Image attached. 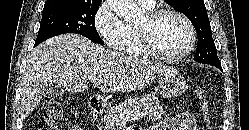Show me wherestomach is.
Returning <instances> with one entry per match:
<instances>
[{
	"label": "stomach",
	"mask_w": 249,
	"mask_h": 130,
	"mask_svg": "<svg viewBox=\"0 0 249 130\" xmlns=\"http://www.w3.org/2000/svg\"><path fill=\"white\" fill-rule=\"evenodd\" d=\"M158 83L161 89L160 93L165 98L178 97L188 88L186 80L176 70L162 74Z\"/></svg>",
	"instance_id": "1"
}]
</instances>
